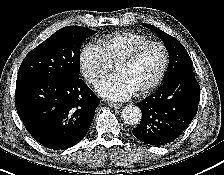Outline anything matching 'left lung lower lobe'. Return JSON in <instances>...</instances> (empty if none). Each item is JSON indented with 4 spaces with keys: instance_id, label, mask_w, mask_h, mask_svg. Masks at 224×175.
Here are the masks:
<instances>
[{
    "instance_id": "obj_1",
    "label": "left lung lower lobe",
    "mask_w": 224,
    "mask_h": 175,
    "mask_svg": "<svg viewBox=\"0 0 224 175\" xmlns=\"http://www.w3.org/2000/svg\"><path fill=\"white\" fill-rule=\"evenodd\" d=\"M200 86L193 71L177 73L138 103L140 124L133 135L145 144L162 146L174 141L189 126L198 110Z\"/></svg>"
}]
</instances>
